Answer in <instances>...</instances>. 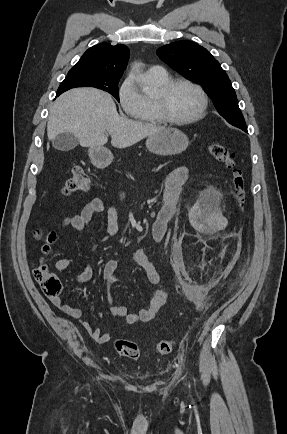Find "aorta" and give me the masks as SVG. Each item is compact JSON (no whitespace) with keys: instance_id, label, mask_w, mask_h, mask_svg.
Here are the masks:
<instances>
[{"instance_id":"1","label":"aorta","mask_w":287,"mask_h":434,"mask_svg":"<svg viewBox=\"0 0 287 434\" xmlns=\"http://www.w3.org/2000/svg\"><path fill=\"white\" fill-rule=\"evenodd\" d=\"M134 71L138 72L139 71V64H134L133 68ZM137 81H143V78L141 77H137Z\"/></svg>"}]
</instances>
